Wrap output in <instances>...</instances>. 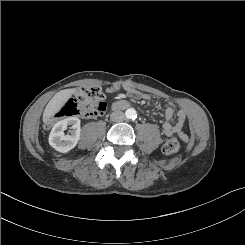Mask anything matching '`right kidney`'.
<instances>
[{"mask_svg": "<svg viewBox=\"0 0 245 245\" xmlns=\"http://www.w3.org/2000/svg\"><path fill=\"white\" fill-rule=\"evenodd\" d=\"M67 126H71V130L65 135L64 131ZM80 119L77 117H68L57 122L49 135V144L61 153H67L72 150L80 139Z\"/></svg>", "mask_w": 245, "mask_h": 245, "instance_id": "obj_1", "label": "right kidney"}]
</instances>
